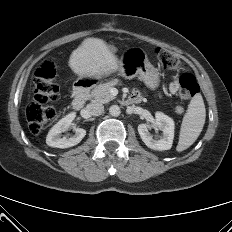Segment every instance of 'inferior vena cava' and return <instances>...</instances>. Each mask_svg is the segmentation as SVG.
Here are the masks:
<instances>
[{"label":"inferior vena cava","mask_w":232,"mask_h":232,"mask_svg":"<svg viewBox=\"0 0 232 232\" xmlns=\"http://www.w3.org/2000/svg\"><path fill=\"white\" fill-rule=\"evenodd\" d=\"M86 111L89 115L98 116L104 112V106L101 103H91L86 107Z\"/></svg>","instance_id":"inferior-vena-cava-1"}]
</instances>
